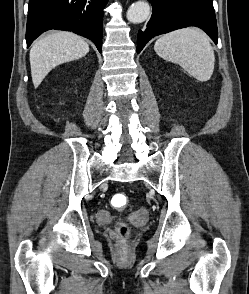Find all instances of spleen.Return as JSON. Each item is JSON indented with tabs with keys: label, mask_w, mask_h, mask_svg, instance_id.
<instances>
[{
	"label": "spleen",
	"mask_w": 249,
	"mask_h": 294,
	"mask_svg": "<svg viewBox=\"0 0 249 294\" xmlns=\"http://www.w3.org/2000/svg\"><path fill=\"white\" fill-rule=\"evenodd\" d=\"M165 60L178 63L201 82L208 81L214 71L215 56L209 37L199 29L188 27L161 36L154 45Z\"/></svg>",
	"instance_id": "spleen-1"
}]
</instances>
